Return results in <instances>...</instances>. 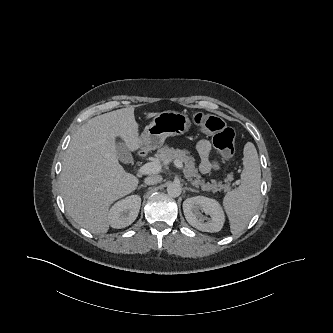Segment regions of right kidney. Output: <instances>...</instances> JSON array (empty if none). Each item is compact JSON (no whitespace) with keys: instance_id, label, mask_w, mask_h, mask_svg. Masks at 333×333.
<instances>
[{"instance_id":"1","label":"right kidney","mask_w":333,"mask_h":333,"mask_svg":"<svg viewBox=\"0 0 333 333\" xmlns=\"http://www.w3.org/2000/svg\"><path fill=\"white\" fill-rule=\"evenodd\" d=\"M140 206L139 195H131L116 202L108 213L110 226L117 229L129 226L137 218Z\"/></svg>"}]
</instances>
